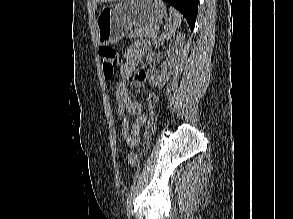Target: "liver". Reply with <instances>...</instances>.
Segmentation results:
<instances>
[{
	"instance_id": "6515ba94",
	"label": "liver",
	"mask_w": 293,
	"mask_h": 219,
	"mask_svg": "<svg viewBox=\"0 0 293 219\" xmlns=\"http://www.w3.org/2000/svg\"><path fill=\"white\" fill-rule=\"evenodd\" d=\"M117 0H93L94 9L96 8L97 3L100 2H116Z\"/></svg>"
}]
</instances>
